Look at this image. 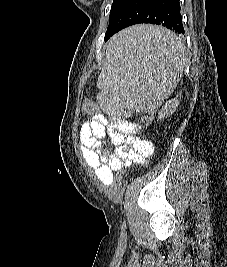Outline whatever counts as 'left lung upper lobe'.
<instances>
[{
    "label": "left lung upper lobe",
    "mask_w": 227,
    "mask_h": 267,
    "mask_svg": "<svg viewBox=\"0 0 227 267\" xmlns=\"http://www.w3.org/2000/svg\"><path fill=\"white\" fill-rule=\"evenodd\" d=\"M128 0H113V4L111 7V13H114L115 11H117L122 5H124Z\"/></svg>",
    "instance_id": "obj_1"
}]
</instances>
